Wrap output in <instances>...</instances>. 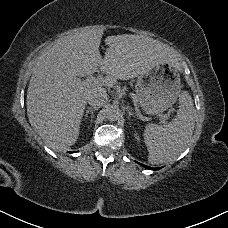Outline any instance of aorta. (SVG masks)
I'll return each instance as SVG.
<instances>
[{"label":"aorta","instance_id":"1","mask_svg":"<svg viewBox=\"0 0 228 228\" xmlns=\"http://www.w3.org/2000/svg\"><path fill=\"white\" fill-rule=\"evenodd\" d=\"M118 114H119V108L115 106H111L107 110L106 117L108 118V120L115 121L118 117Z\"/></svg>","mask_w":228,"mask_h":228}]
</instances>
